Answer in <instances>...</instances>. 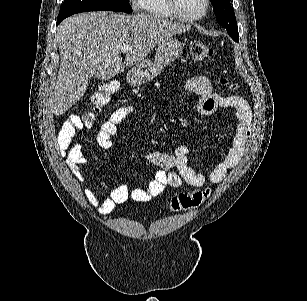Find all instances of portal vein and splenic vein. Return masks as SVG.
Returning a JSON list of instances; mask_svg holds the SVG:
<instances>
[{"label":"portal vein and splenic vein","instance_id":"1","mask_svg":"<svg viewBox=\"0 0 307 301\" xmlns=\"http://www.w3.org/2000/svg\"><path fill=\"white\" fill-rule=\"evenodd\" d=\"M121 52H129L130 48L129 46H122V48H120Z\"/></svg>","mask_w":307,"mask_h":301}]
</instances>
